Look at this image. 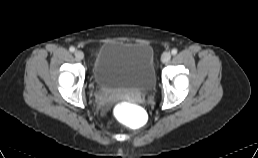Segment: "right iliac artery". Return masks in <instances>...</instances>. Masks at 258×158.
<instances>
[{
    "label": "right iliac artery",
    "instance_id": "obj_1",
    "mask_svg": "<svg viewBox=\"0 0 258 158\" xmlns=\"http://www.w3.org/2000/svg\"><path fill=\"white\" fill-rule=\"evenodd\" d=\"M69 50H70V52H74V51H75V48H74L73 46H71V47L69 48Z\"/></svg>",
    "mask_w": 258,
    "mask_h": 158
}]
</instances>
